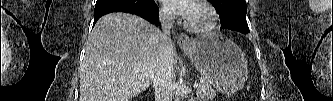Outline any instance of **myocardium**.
<instances>
[{"label":"myocardium","instance_id":"myocardium-1","mask_svg":"<svg viewBox=\"0 0 333 101\" xmlns=\"http://www.w3.org/2000/svg\"><path fill=\"white\" fill-rule=\"evenodd\" d=\"M195 5L202 7L209 15V22L205 25H195L191 23L187 18L184 21V26L194 33H208L214 30L219 22V15L215 8L207 1H196Z\"/></svg>","mask_w":333,"mask_h":101}]
</instances>
